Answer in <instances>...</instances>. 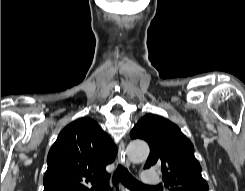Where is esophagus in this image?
<instances>
[{
    "label": "esophagus",
    "instance_id": "1",
    "mask_svg": "<svg viewBox=\"0 0 245 191\" xmlns=\"http://www.w3.org/2000/svg\"><path fill=\"white\" fill-rule=\"evenodd\" d=\"M125 147H126L125 142L121 141L118 149V160L121 163V165L128 168L130 166V162L126 156Z\"/></svg>",
    "mask_w": 245,
    "mask_h": 191
}]
</instances>
